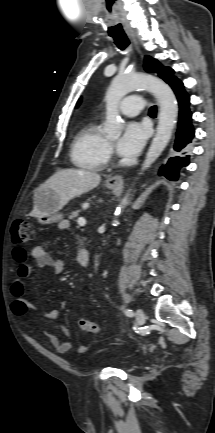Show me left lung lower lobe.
<instances>
[{
  "mask_svg": "<svg viewBox=\"0 0 215 433\" xmlns=\"http://www.w3.org/2000/svg\"><path fill=\"white\" fill-rule=\"evenodd\" d=\"M175 92L179 103V121L178 130L173 148L179 156L171 157L165 166H162L159 174L165 176L171 181L178 179V172L181 167L189 164L190 155L185 149L191 143L194 137V128L192 126V114L189 110V96L184 90L183 83L174 78L168 83Z\"/></svg>",
  "mask_w": 215,
  "mask_h": 433,
  "instance_id": "left-lung-lower-lobe-1",
  "label": "left lung lower lobe"
}]
</instances>
